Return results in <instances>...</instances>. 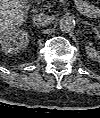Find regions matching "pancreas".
Returning a JSON list of instances; mask_svg holds the SVG:
<instances>
[{"mask_svg":"<svg viewBox=\"0 0 100 118\" xmlns=\"http://www.w3.org/2000/svg\"><path fill=\"white\" fill-rule=\"evenodd\" d=\"M44 0H38V4H40L41 2H43ZM46 7H48V6H46Z\"/></svg>","mask_w":100,"mask_h":118,"instance_id":"obj_1","label":"pancreas"}]
</instances>
